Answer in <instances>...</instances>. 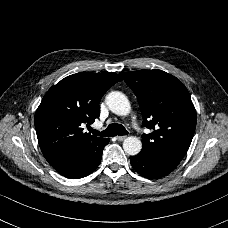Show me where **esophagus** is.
<instances>
[{"label": "esophagus", "mask_w": 228, "mask_h": 228, "mask_svg": "<svg viewBox=\"0 0 228 228\" xmlns=\"http://www.w3.org/2000/svg\"><path fill=\"white\" fill-rule=\"evenodd\" d=\"M126 137H127V136H125V135H124V136H117L116 139H117L118 141H124V140L126 139Z\"/></svg>", "instance_id": "1"}]
</instances>
